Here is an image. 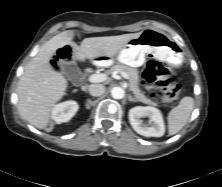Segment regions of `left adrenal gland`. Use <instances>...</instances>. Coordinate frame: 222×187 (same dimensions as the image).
<instances>
[{
	"label": "left adrenal gland",
	"mask_w": 222,
	"mask_h": 187,
	"mask_svg": "<svg viewBox=\"0 0 222 187\" xmlns=\"http://www.w3.org/2000/svg\"><path fill=\"white\" fill-rule=\"evenodd\" d=\"M128 100L130 102H138L136 99H134L131 95L128 96Z\"/></svg>",
	"instance_id": "a2214340"
}]
</instances>
